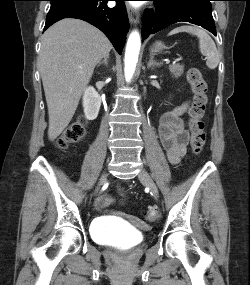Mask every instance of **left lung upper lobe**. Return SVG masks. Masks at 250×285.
<instances>
[{"label":"left lung upper lobe","mask_w":250,"mask_h":285,"mask_svg":"<svg viewBox=\"0 0 250 285\" xmlns=\"http://www.w3.org/2000/svg\"><path fill=\"white\" fill-rule=\"evenodd\" d=\"M166 8L176 6L184 2H196L207 7H211L210 1L212 0H159Z\"/></svg>","instance_id":"5c2ea615"}]
</instances>
